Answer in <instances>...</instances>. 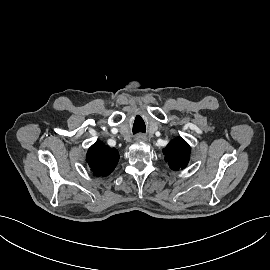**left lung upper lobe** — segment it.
<instances>
[{"instance_id": "1", "label": "left lung upper lobe", "mask_w": 270, "mask_h": 270, "mask_svg": "<svg viewBox=\"0 0 270 270\" xmlns=\"http://www.w3.org/2000/svg\"><path fill=\"white\" fill-rule=\"evenodd\" d=\"M163 154L172 170L183 169L190 159V146L183 138L177 137L166 146Z\"/></svg>"}]
</instances>
